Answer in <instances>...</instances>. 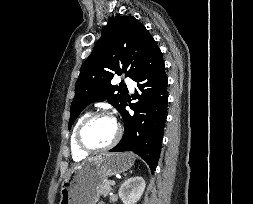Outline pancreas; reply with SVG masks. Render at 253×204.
<instances>
[{"instance_id":"1","label":"pancreas","mask_w":253,"mask_h":204,"mask_svg":"<svg viewBox=\"0 0 253 204\" xmlns=\"http://www.w3.org/2000/svg\"><path fill=\"white\" fill-rule=\"evenodd\" d=\"M112 190L111 188V184H110V181H105L104 183H102L101 185H99L98 187V193L99 195H102V196H107L108 193Z\"/></svg>"}]
</instances>
